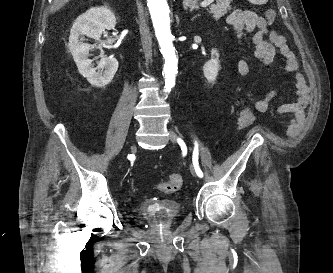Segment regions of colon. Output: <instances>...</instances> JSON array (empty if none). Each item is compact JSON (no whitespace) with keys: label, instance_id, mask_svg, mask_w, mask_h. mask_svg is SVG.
I'll return each mask as SVG.
<instances>
[{"label":"colon","instance_id":"1","mask_svg":"<svg viewBox=\"0 0 333 273\" xmlns=\"http://www.w3.org/2000/svg\"><path fill=\"white\" fill-rule=\"evenodd\" d=\"M265 16L269 22H273L276 18V13L273 9H268L265 12ZM255 120V114L251 108H244L239 114V126L245 128L251 125ZM182 177L178 173H172L169 175L166 181L161 182L158 185L160 191L171 194L179 190L182 186Z\"/></svg>","mask_w":333,"mask_h":273}]
</instances>
